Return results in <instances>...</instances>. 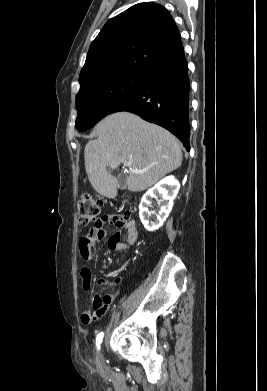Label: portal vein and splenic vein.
I'll list each match as a JSON object with an SVG mask.
<instances>
[{
  "label": "portal vein and splenic vein",
  "instance_id": "18ae733b",
  "mask_svg": "<svg viewBox=\"0 0 267 391\" xmlns=\"http://www.w3.org/2000/svg\"><path fill=\"white\" fill-rule=\"evenodd\" d=\"M124 164H125L126 166H129V165H130L129 162H125ZM129 170H130L131 172H134V173H142V172H143L142 170L132 169V168H129Z\"/></svg>",
  "mask_w": 267,
  "mask_h": 391
}]
</instances>
